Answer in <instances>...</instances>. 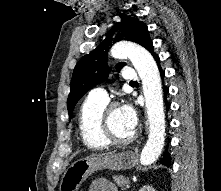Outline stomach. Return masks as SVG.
Segmentation results:
<instances>
[{
	"instance_id": "stomach-1",
	"label": "stomach",
	"mask_w": 221,
	"mask_h": 191,
	"mask_svg": "<svg viewBox=\"0 0 221 191\" xmlns=\"http://www.w3.org/2000/svg\"><path fill=\"white\" fill-rule=\"evenodd\" d=\"M135 164L136 157L132 151L79 159L65 171L60 182V191H78L81 184L98 170H127Z\"/></svg>"
}]
</instances>
